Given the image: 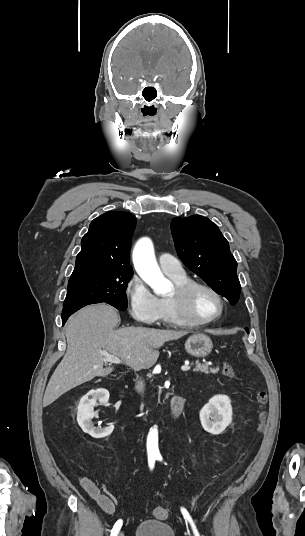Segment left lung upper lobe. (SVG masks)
<instances>
[{
    "label": "left lung upper lobe",
    "instance_id": "obj_1",
    "mask_svg": "<svg viewBox=\"0 0 305 536\" xmlns=\"http://www.w3.org/2000/svg\"><path fill=\"white\" fill-rule=\"evenodd\" d=\"M171 230L183 263L234 305L241 291L237 262L218 226L208 218L194 215L175 217Z\"/></svg>",
    "mask_w": 305,
    "mask_h": 536
}]
</instances>
